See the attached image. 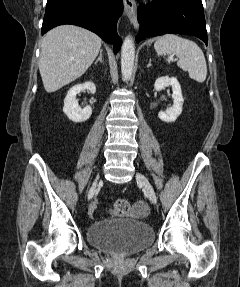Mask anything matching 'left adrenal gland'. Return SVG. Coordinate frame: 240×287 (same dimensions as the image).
Listing matches in <instances>:
<instances>
[{
	"label": "left adrenal gland",
	"mask_w": 240,
	"mask_h": 287,
	"mask_svg": "<svg viewBox=\"0 0 240 287\" xmlns=\"http://www.w3.org/2000/svg\"><path fill=\"white\" fill-rule=\"evenodd\" d=\"M151 65H152V60L149 59V63H148V65H147V67H150Z\"/></svg>",
	"instance_id": "obj_1"
}]
</instances>
